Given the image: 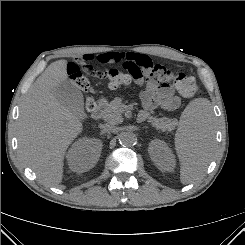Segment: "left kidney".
<instances>
[{
	"mask_svg": "<svg viewBox=\"0 0 245 245\" xmlns=\"http://www.w3.org/2000/svg\"><path fill=\"white\" fill-rule=\"evenodd\" d=\"M151 160L160 170L171 171L175 167V159L171 149L162 140H153L149 144Z\"/></svg>",
	"mask_w": 245,
	"mask_h": 245,
	"instance_id": "5707ae66",
	"label": "left kidney"
}]
</instances>
